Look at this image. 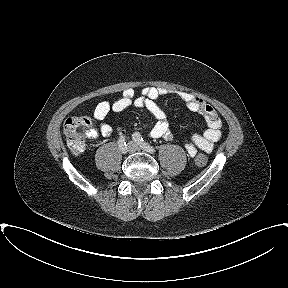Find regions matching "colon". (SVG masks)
<instances>
[{
  "mask_svg": "<svg viewBox=\"0 0 288 288\" xmlns=\"http://www.w3.org/2000/svg\"><path fill=\"white\" fill-rule=\"evenodd\" d=\"M92 126L93 120L89 116H72L66 119L63 131L72 154L79 155L84 151L86 139L93 130ZM195 163L203 167L207 164V157L199 154L195 158Z\"/></svg>",
  "mask_w": 288,
  "mask_h": 288,
  "instance_id": "obj_1",
  "label": "colon"
}]
</instances>
